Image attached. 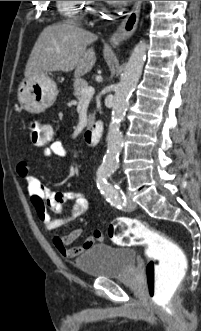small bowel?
Here are the masks:
<instances>
[{"instance_id":"1","label":"small bowel","mask_w":201,"mask_h":331,"mask_svg":"<svg viewBox=\"0 0 201 331\" xmlns=\"http://www.w3.org/2000/svg\"><path fill=\"white\" fill-rule=\"evenodd\" d=\"M43 154L46 157H67L68 150L61 141L55 140L43 150ZM17 173L26 182L32 205L47 230H56L65 224H69L81 217L87 210L88 202L81 192H54L50 190L31 173L29 161H20L17 165ZM70 201H72V205L64 215L51 216V211L59 212L62 206ZM81 234L82 230L76 228L65 235H54L52 241L57 251L68 259L77 257L95 243L103 241L102 232L94 231L83 243L71 247V244L79 239Z\"/></svg>"}]
</instances>
